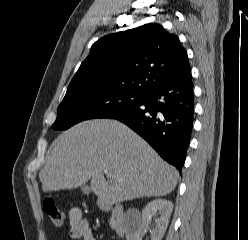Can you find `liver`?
<instances>
[{"instance_id": "1", "label": "liver", "mask_w": 248, "mask_h": 240, "mask_svg": "<svg viewBox=\"0 0 248 240\" xmlns=\"http://www.w3.org/2000/svg\"><path fill=\"white\" fill-rule=\"evenodd\" d=\"M39 178L43 192L74 189L91 180L99 201L111 205L166 196L179 173L123 123L95 119L57 137Z\"/></svg>"}]
</instances>
